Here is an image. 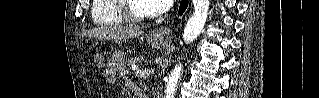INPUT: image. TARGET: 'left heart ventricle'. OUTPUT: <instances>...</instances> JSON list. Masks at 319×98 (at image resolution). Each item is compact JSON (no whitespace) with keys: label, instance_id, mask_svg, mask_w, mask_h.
<instances>
[{"label":"left heart ventricle","instance_id":"left-heart-ventricle-1","mask_svg":"<svg viewBox=\"0 0 319 98\" xmlns=\"http://www.w3.org/2000/svg\"><path fill=\"white\" fill-rule=\"evenodd\" d=\"M129 10L132 14L135 15H143L148 13L141 0L129 1Z\"/></svg>","mask_w":319,"mask_h":98}]
</instances>
